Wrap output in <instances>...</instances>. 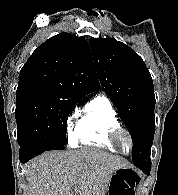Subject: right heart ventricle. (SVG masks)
Wrapping results in <instances>:
<instances>
[{
  "label": "right heart ventricle",
  "mask_w": 178,
  "mask_h": 195,
  "mask_svg": "<svg viewBox=\"0 0 178 195\" xmlns=\"http://www.w3.org/2000/svg\"><path fill=\"white\" fill-rule=\"evenodd\" d=\"M117 126L120 122L111 101L97 95L86 105L79 119L78 141L82 145L118 152L109 138L110 131Z\"/></svg>",
  "instance_id": "obj_1"
}]
</instances>
